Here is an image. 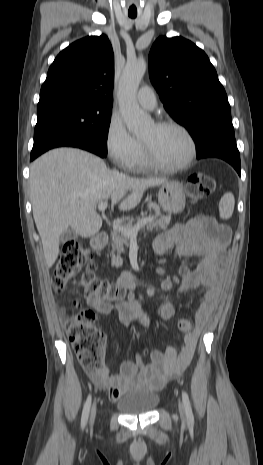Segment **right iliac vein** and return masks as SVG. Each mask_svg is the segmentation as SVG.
<instances>
[{
    "instance_id": "obj_1",
    "label": "right iliac vein",
    "mask_w": 263,
    "mask_h": 465,
    "mask_svg": "<svg viewBox=\"0 0 263 465\" xmlns=\"http://www.w3.org/2000/svg\"><path fill=\"white\" fill-rule=\"evenodd\" d=\"M95 416H96V405L93 404L92 409H91V414H90V425L94 423Z\"/></svg>"
}]
</instances>
